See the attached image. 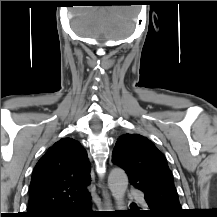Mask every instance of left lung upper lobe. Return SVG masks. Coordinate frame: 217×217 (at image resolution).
Wrapping results in <instances>:
<instances>
[{
  "label": "left lung upper lobe",
  "mask_w": 217,
  "mask_h": 217,
  "mask_svg": "<svg viewBox=\"0 0 217 217\" xmlns=\"http://www.w3.org/2000/svg\"><path fill=\"white\" fill-rule=\"evenodd\" d=\"M112 161L126 171L135 188L144 192L147 203L164 212H181L167 160L149 139L139 134L121 135L114 147Z\"/></svg>",
  "instance_id": "5c2ea615"
}]
</instances>
